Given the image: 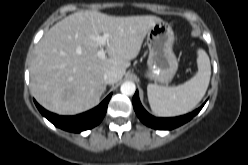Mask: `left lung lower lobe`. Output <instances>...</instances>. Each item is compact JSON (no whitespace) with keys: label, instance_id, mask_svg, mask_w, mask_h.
I'll use <instances>...</instances> for the list:
<instances>
[{"label":"left lung lower lobe","instance_id":"obj_1","mask_svg":"<svg viewBox=\"0 0 248 165\" xmlns=\"http://www.w3.org/2000/svg\"><path fill=\"white\" fill-rule=\"evenodd\" d=\"M133 107L134 110L138 116V118L147 126L158 129V130H171L174 129L189 120H191L198 112L202 109L203 105L198 108L197 110L193 111L192 113L180 116V117H175V118H156L150 115L141 105L139 96H138V91H136L133 99Z\"/></svg>","mask_w":248,"mask_h":165}]
</instances>
